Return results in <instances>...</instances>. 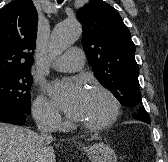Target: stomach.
<instances>
[{"label": "stomach", "instance_id": "1", "mask_svg": "<svg viewBox=\"0 0 168 162\" xmlns=\"http://www.w3.org/2000/svg\"><path fill=\"white\" fill-rule=\"evenodd\" d=\"M83 149L92 162H117L114 150L102 142L84 147Z\"/></svg>", "mask_w": 168, "mask_h": 162}]
</instances>
